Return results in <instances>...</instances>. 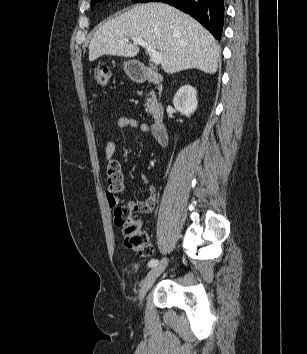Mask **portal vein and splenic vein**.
<instances>
[{
  "mask_svg": "<svg viewBox=\"0 0 307 354\" xmlns=\"http://www.w3.org/2000/svg\"><path fill=\"white\" fill-rule=\"evenodd\" d=\"M131 39L135 44L141 45L143 48L146 49V51L148 52V54L150 56L151 61L155 65H159L161 63L162 54L159 51H156V49H154L153 47L148 45L145 41H143L142 38L132 37ZM128 40L129 39H124V41H128Z\"/></svg>",
  "mask_w": 307,
  "mask_h": 354,
  "instance_id": "portal-vein-and-splenic-vein-1",
  "label": "portal vein and splenic vein"
}]
</instances>
